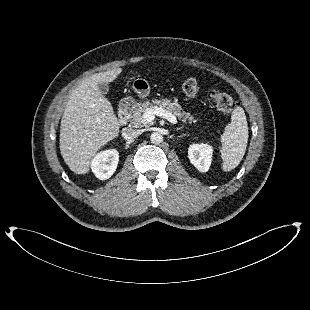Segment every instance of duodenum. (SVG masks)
<instances>
[{
  "label": "duodenum",
  "mask_w": 310,
  "mask_h": 310,
  "mask_svg": "<svg viewBox=\"0 0 310 310\" xmlns=\"http://www.w3.org/2000/svg\"><path fill=\"white\" fill-rule=\"evenodd\" d=\"M132 108H133V105L129 99L124 100L120 104L119 113H118V120H119L120 125H125L128 122L131 116V113H132Z\"/></svg>",
  "instance_id": "obj_1"
}]
</instances>
